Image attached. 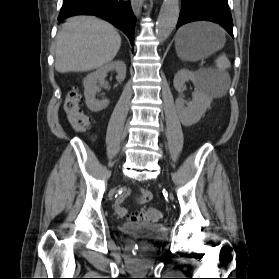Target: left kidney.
I'll use <instances>...</instances> for the list:
<instances>
[{
	"label": "left kidney",
	"mask_w": 279,
	"mask_h": 279,
	"mask_svg": "<svg viewBox=\"0 0 279 279\" xmlns=\"http://www.w3.org/2000/svg\"><path fill=\"white\" fill-rule=\"evenodd\" d=\"M191 81L195 86L193 100L186 103L179 96L176 99V110L181 123L186 126L196 124L210 107L213 98L206 92L205 74L203 72H192L188 69L179 70L173 81L174 88L181 94L185 90V82ZM185 104L187 106H185Z\"/></svg>",
	"instance_id": "1"
}]
</instances>
